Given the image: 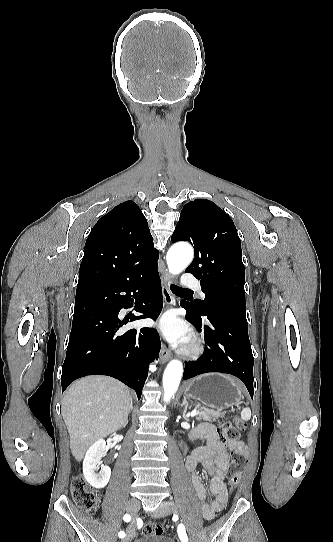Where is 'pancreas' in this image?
<instances>
[{
	"label": "pancreas",
	"instance_id": "obj_1",
	"mask_svg": "<svg viewBox=\"0 0 333 542\" xmlns=\"http://www.w3.org/2000/svg\"><path fill=\"white\" fill-rule=\"evenodd\" d=\"M227 412H215V410H208V408H198L196 420H207V422H215L219 418H224Z\"/></svg>",
	"mask_w": 333,
	"mask_h": 542
}]
</instances>
